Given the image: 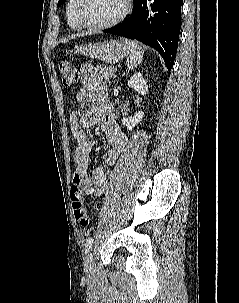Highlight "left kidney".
<instances>
[{"mask_svg": "<svg viewBox=\"0 0 239 303\" xmlns=\"http://www.w3.org/2000/svg\"><path fill=\"white\" fill-rule=\"evenodd\" d=\"M127 85L133 89H135L139 94L144 95L148 92V86L146 84L145 79L143 78L141 73H135ZM144 117L143 111H138L135 113L133 118H123L122 124L127 127L128 130H132L136 124H138Z\"/></svg>", "mask_w": 239, "mask_h": 303, "instance_id": "1", "label": "left kidney"}]
</instances>
